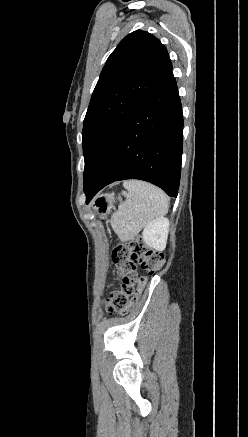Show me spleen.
<instances>
[{
  "instance_id": "1",
  "label": "spleen",
  "mask_w": 248,
  "mask_h": 437,
  "mask_svg": "<svg viewBox=\"0 0 248 437\" xmlns=\"http://www.w3.org/2000/svg\"><path fill=\"white\" fill-rule=\"evenodd\" d=\"M125 201L111 217V226L121 241H128L148 223L163 217L169 206L167 195L158 187L139 180L123 183Z\"/></svg>"
}]
</instances>
